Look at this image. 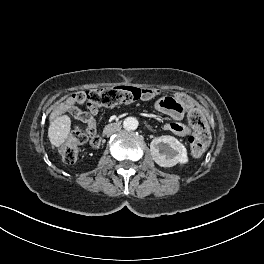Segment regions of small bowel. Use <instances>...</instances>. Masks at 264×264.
Returning <instances> with one entry per match:
<instances>
[{
    "label": "small bowel",
    "mask_w": 264,
    "mask_h": 264,
    "mask_svg": "<svg viewBox=\"0 0 264 264\" xmlns=\"http://www.w3.org/2000/svg\"><path fill=\"white\" fill-rule=\"evenodd\" d=\"M159 92L155 89L143 90L142 98L144 100L154 99ZM192 102L188 96L183 93H178L174 96H166L158 99L155 102V109L161 113L168 115L172 118V122L167 123L164 126L166 131H170L178 136H187L191 129L189 126L181 122L185 112L191 107ZM66 109L71 116L88 126V132L90 134V144L92 147H99L101 141L96 131L95 116L99 112L98 107H89L88 111H82L76 106L67 105Z\"/></svg>",
    "instance_id": "small-bowel-1"
}]
</instances>
